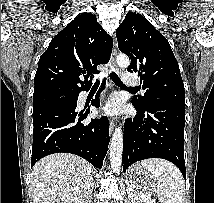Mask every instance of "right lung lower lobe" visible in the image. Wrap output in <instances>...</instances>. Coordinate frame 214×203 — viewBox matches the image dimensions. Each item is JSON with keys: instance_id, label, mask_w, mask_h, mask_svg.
<instances>
[{"instance_id": "right-lung-lower-lobe-1", "label": "right lung lower lobe", "mask_w": 214, "mask_h": 203, "mask_svg": "<svg viewBox=\"0 0 214 203\" xmlns=\"http://www.w3.org/2000/svg\"><path fill=\"white\" fill-rule=\"evenodd\" d=\"M105 81L102 83L104 87ZM89 90L88 89H85ZM79 92L68 98L51 101L33 109V148L31 167L44 156L53 153L76 154L97 168L103 164L109 144V121L106 116L81 123L90 113L77 109ZM98 92L92 105L99 107Z\"/></svg>"}]
</instances>
